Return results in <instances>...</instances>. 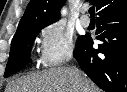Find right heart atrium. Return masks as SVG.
Returning a JSON list of instances; mask_svg holds the SVG:
<instances>
[{
    "instance_id": "obj_1",
    "label": "right heart atrium",
    "mask_w": 127,
    "mask_h": 92,
    "mask_svg": "<svg viewBox=\"0 0 127 92\" xmlns=\"http://www.w3.org/2000/svg\"><path fill=\"white\" fill-rule=\"evenodd\" d=\"M73 36L58 23L42 28L40 32L39 61L45 68L58 67L73 55Z\"/></svg>"
}]
</instances>
